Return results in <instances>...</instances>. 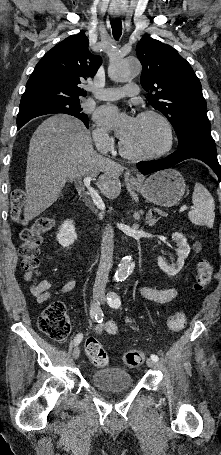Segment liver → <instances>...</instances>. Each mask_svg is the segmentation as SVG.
Returning <instances> with one entry per match:
<instances>
[{"label": "liver", "mask_w": 221, "mask_h": 455, "mask_svg": "<svg viewBox=\"0 0 221 455\" xmlns=\"http://www.w3.org/2000/svg\"><path fill=\"white\" fill-rule=\"evenodd\" d=\"M124 168L98 154L90 131L77 118L57 114L43 121L33 133L27 157L25 221L32 220L62 196L67 182L84 176L96 178V186L109 199L121 192Z\"/></svg>", "instance_id": "6515ba94"}]
</instances>
